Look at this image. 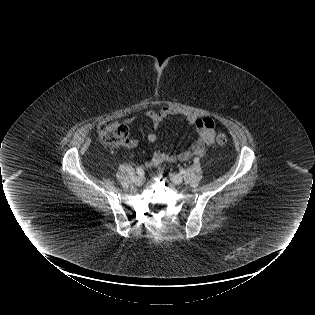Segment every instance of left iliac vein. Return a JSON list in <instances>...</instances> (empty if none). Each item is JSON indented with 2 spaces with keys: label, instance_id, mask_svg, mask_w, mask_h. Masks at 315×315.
Listing matches in <instances>:
<instances>
[{
  "label": "left iliac vein",
  "instance_id": "4c4485c4",
  "mask_svg": "<svg viewBox=\"0 0 315 315\" xmlns=\"http://www.w3.org/2000/svg\"><path fill=\"white\" fill-rule=\"evenodd\" d=\"M172 181L176 185L181 184L183 181V176L181 174H175L172 177Z\"/></svg>",
  "mask_w": 315,
  "mask_h": 315
}]
</instances>
